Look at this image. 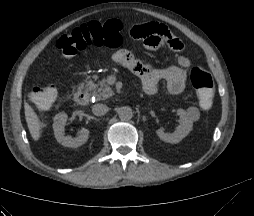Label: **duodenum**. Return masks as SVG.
<instances>
[{"instance_id":"410a0bca","label":"duodenum","mask_w":254,"mask_h":216,"mask_svg":"<svg viewBox=\"0 0 254 216\" xmlns=\"http://www.w3.org/2000/svg\"><path fill=\"white\" fill-rule=\"evenodd\" d=\"M74 100L79 105H87L89 102V95L84 90H79L74 95Z\"/></svg>"}]
</instances>
